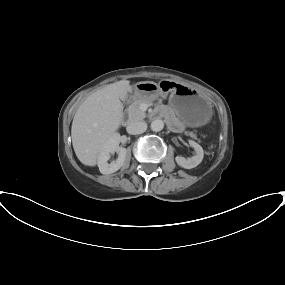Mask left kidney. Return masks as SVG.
<instances>
[{"label": "left kidney", "mask_w": 285, "mask_h": 285, "mask_svg": "<svg viewBox=\"0 0 285 285\" xmlns=\"http://www.w3.org/2000/svg\"><path fill=\"white\" fill-rule=\"evenodd\" d=\"M189 144L194 148L195 156L185 159L184 157L177 156L175 158L177 164L185 169H191L199 165L204 157L203 148L195 141L189 140Z\"/></svg>", "instance_id": "left-kidney-1"}]
</instances>
